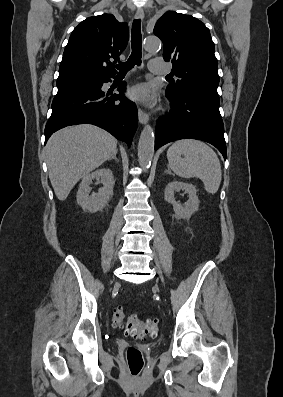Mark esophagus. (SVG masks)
Wrapping results in <instances>:
<instances>
[{"label":"esophagus","mask_w":283,"mask_h":397,"mask_svg":"<svg viewBox=\"0 0 283 397\" xmlns=\"http://www.w3.org/2000/svg\"><path fill=\"white\" fill-rule=\"evenodd\" d=\"M135 18L136 19H143L144 18L143 10H141V9L137 10L136 13H135ZM138 119H139V122L141 124H146L148 122V120H149V116L141 108H138Z\"/></svg>","instance_id":"esophagus-1"}]
</instances>
